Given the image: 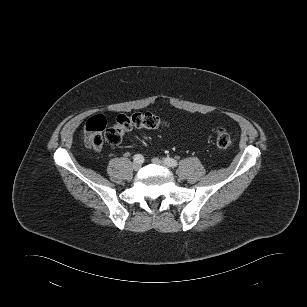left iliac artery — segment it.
Returning a JSON list of instances; mask_svg holds the SVG:
<instances>
[{
	"label": "left iliac artery",
	"instance_id": "1",
	"mask_svg": "<svg viewBox=\"0 0 307 307\" xmlns=\"http://www.w3.org/2000/svg\"><path fill=\"white\" fill-rule=\"evenodd\" d=\"M164 163L170 167H176L178 165V162L172 158H164Z\"/></svg>",
	"mask_w": 307,
	"mask_h": 307
}]
</instances>
